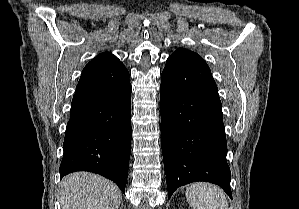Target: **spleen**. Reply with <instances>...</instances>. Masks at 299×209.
Masks as SVG:
<instances>
[{
	"mask_svg": "<svg viewBox=\"0 0 299 209\" xmlns=\"http://www.w3.org/2000/svg\"><path fill=\"white\" fill-rule=\"evenodd\" d=\"M185 196L193 209H228L225 192L215 184L193 183L187 187Z\"/></svg>",
	"mask_w": 299,
	"mask_h": 209,
	"instance_id": "1",
	"label": "spleen"
}]
</instances>
